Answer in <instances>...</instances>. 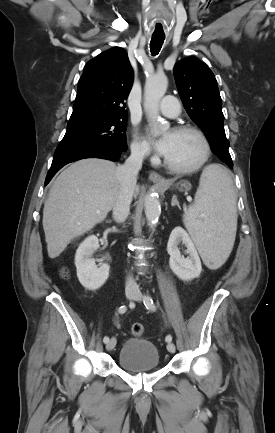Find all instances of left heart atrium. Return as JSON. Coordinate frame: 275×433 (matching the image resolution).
Here are the masks:
<instances>
[{
    "label": "left heart atrium",
    "mask_w": 275,
    "mask_h": 433,
    "mask_svg": "<svg viewBox=\"0 0 275 433\" xmlns=\"http://www.w3.org/2000/svg\"><path fill=\"white\" fill-rule=\"evenodd\" d=\"M154 145L156 150L161 154V155H166L169 151V147H170V138L168 136H164L160 139H157L154 141Z\"/></svg>",
    "instance_id": "1"
}]
</instances>
